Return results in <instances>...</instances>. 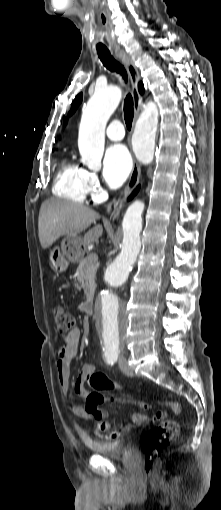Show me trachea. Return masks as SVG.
I'll use <instances>...</instances> for the list:
<instances>
[{"mask_svg": "<svg viewBox=\"0 0 221 510\" xmlns=\"http://www.w3.org/2000/svg\"><path fill=\"white\" fill-rule=\"evenodd\" d=\"M98 56L103 65L110 71L116 72L122 76L125 83H127V72L124 67L117 62L113 56L109 52H99ZM124 119L127 128L130 130L132 126V121L134 117V107H133V98L130 93L127 94L124 100Z\"/></svg>", "mask_w": 221, "mask_h": 510, "instance_id": "trachea-1", "label": "trachea"}]
</instances>
